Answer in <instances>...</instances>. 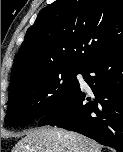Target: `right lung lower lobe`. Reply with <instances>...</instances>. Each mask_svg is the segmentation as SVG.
Here are the masks:
<instances>
[{
	"label": "right lung lower lobe",
	"instance_id": "1",
	"mask_svg": "<svg viewBox=\"0 0 123 152\" xmlns=\"http://www.w3.org/2000/svg\"><path fill=\"white\" fill-rule=\"evenodd\" d=\"M81 73L92 93L78 87L39 126L53 124L123 152V41L100 53Z\"/></svg>",
	"mask_w": 123,
	"mask_h": 152
}]
</instances>
